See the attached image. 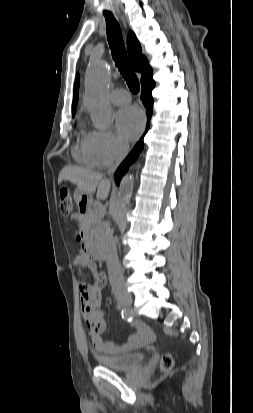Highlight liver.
<instances>
[{
  "label": "liver",
  "mask_w": 253,
  "mask_h": 413,
  "mask_svg": "<svg viewBox=\"0 0 253 413\" xmlns=\"http://www.w3.org/2000/svg\"><path fill=\"white\" fill-rule=\"evenodd\" d=\"M64 180L76 184L78 189L87 194H92L97 189L98 200H105L111 188L110 180L103 178L102 174L76 166H66L60 171L58 184Z\"/></svg>",
  "instance_id": "6515ba94"
}]
</instances>
